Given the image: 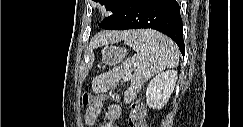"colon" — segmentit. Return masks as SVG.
<instances>
[{
    "instance_id": "5ec220e1",
    "label": "colon",
    "mask_w": 243,
    "mask_h": 127,
    "mask_svg": "<svg viewBox=\"0 0 243 127\" xmlns=\"http://www.w3.org/2000/svg\"><path fill=\"white\" fill-rule=\"evenodd\" d=\"M95 100L96 99L93 100L92 96L87 93H85L82 97V102L84 105L92 103ZM127 126L128 127H146V124L144 122V110L140 105L134 104V103L131 105L128 119H127Z\"/></svg>"
}]
</instances>
